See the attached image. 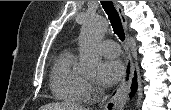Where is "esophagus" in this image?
Masks as SVG:
<instances>
[{"label": "esophagus", "mask_w": 171, "mask_h": 110, "mask_svg": "<svg viewBox=\"0 0 171 110\" xmlns=\"http://www.w3.org/2000/svg\"><path fill=\"white\" fill-rule=\"evenodd\" d=\"M115 6L117 9V12L119 13V15L121 17V21H122L123 27L126 32L127 47L129 48L130 42H129V34L127 32V20L123 14V10L120 7V5H118L115 2ZM133 76H134V67L132 64L131 56L129 54L128 57L126 58V62H125L124 76H123L122 81L116 91V94L107 103V105H106L107 109L112 107L113 110H121L123 108V106L125 105L131 84H132Z\"/></svg>", "instance_id": "obj_1"}]
</instances>
